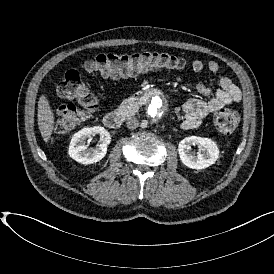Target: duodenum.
<instances>
[{"label":"duodenum","instance_id":"obj_1","mask_svg":"<svg viewBox=\"0 0 274 274\" xmlns=\"http://www.w3.org/2000/svg\"><path fill=\"white\" fill-rule=\"evenodd\" d=\"M160 94L161 93L158 92L157 90H152V89L145 90L133 98V103L137 105H141L147 102L148 100H150L151 98ZM126 116H127V111L125 109H117V110L109 111L104 115L103 123L107 128L117 129L123 124Z\"/></svg>","mask_w":274,"mask_h":274}]
</instances>
